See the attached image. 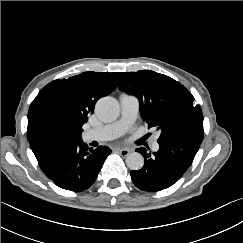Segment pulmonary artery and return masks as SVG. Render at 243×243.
Instances as JSON below:
<instances>
[{"label":"pulmonary artery","mask_w":243,"mask_h":243,"mask_svg":"<svg viewBox=\"0 0 243 243\" xmlns=\"http://www.w3.org/2000/svg\"><path fill=\"white\" fill-rule=\"evenodd\" d=\"M121 118L108 125L99 128L91 129L83 133V140L91 141H106L119 137L134 122L139 111V100L133 95L122 94L120 96ZM158 137L155 136L151 140V147L154 151L159 149Z\"/></svg>","instance_id":"e3ab8cb5"}]
</instances>
